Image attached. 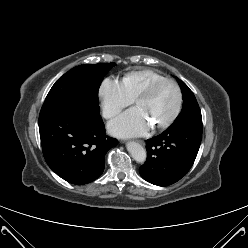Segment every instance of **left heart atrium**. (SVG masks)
Wrapping results in <instances>:
<instances>
[{
  "label": "left heart atrium",
  "instance_id": "1",
  "mask_svg": "<svg viewBox=\"0 0 248 248\" xmlns=\"http://www.w3.org/2000/svg\"><path fill=\"white\" fill-rule=\"evenodd\" d=\"M150 127L149 119L139 107H133L111 121L109 131L118 137L144 135Z\"/></svg>",
  "mask_w": 248,
  "mask_h": 248
}]
</instances>
